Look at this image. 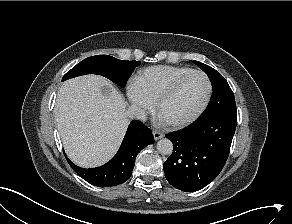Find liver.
Listing matches in <instances>:
<instances>
[{"label": "liver", "instance_id": "6515ba94", "mask_svg": "<svg viewBox=\"0 0 292 224\" xmlns=\"http://www.w3.org/2000/svg\"><path fill=\"white\" fill-rule=\"evenodd\" d=\"M54 113L68 157L84 168L107 162L118 150L128 125L123 96L98 75L65 81Z\"/></svg>", "mask_w": 292, "mask_h": 224}]
</instances>
